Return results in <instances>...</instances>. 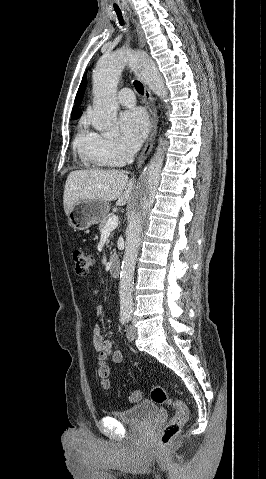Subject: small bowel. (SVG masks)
Wrapping results in <instances>:
<instances>
[{
  "label": "small bowel",
  "mask_w": 266,
  "mask_h": 479,
  "mask_svg": "<svg viewBox=\"0 0 266 479\" xmlns=\"http://www.w3.org/2000/svg\"><path fill=\"white\" fill-rule=\"evenodd\" d=\"M94 293L97 294V291ZM104 313V308L102 306H97L94 311L95 320L99 321L102 319ZM93 332V344L96 351L104 353L106 356L110 357L113 362L120 363L124 358L123 352L114 348V342L112 340L104 337L102 328L98 323L94 325Z\"/></svg>",
  "instance_id": "small-bowel-1"
}]
</instances>
